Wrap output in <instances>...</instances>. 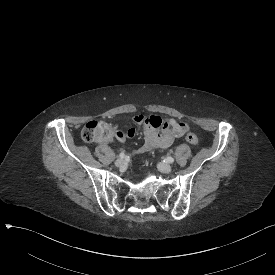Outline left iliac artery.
Returning <instances> with one entry per match:
<instances>
[{
    "mask_svg": "<svg viewBox=\"0 0 275 275\" xmlns=\"http://www.w3.org/2000/svg\"><path fill=\"white\" fill-rule=\"evenodd\" d=\"M166 162L168 163H173L174 162V159L172 157H167L166 158Z\"/></svg>",
    "mask_w": 275,
    "mask_h": 275,
    "instance_id": "44dca946",
    "label": "left iliac artery"
}]
</instances>
